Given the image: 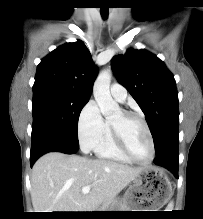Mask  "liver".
Masks as SVG:
<instances>
[{"instance_id": "1", "label": "liver", "mask_w": 203, "mask_h": 219, "mask_svg": "<svg viewBox=\"0 0 203 219\" xmlns=\"http://www.w3.org/2000/svg\"><path fill=\"white\" fill-rule=\"evenodd\" d=\"M142 170L110 160L51 152L32 168V205L35 212H91L113 199ZM84 186H91L89 193H82Z\"/></svg>"}]
</instances>
